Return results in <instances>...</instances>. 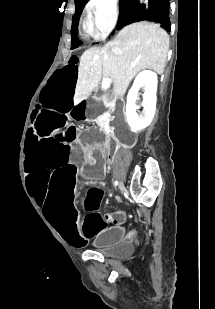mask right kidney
Listing matches in <instances>:
<instances>
[{
  "label": "right kidney",
  "mask_w": 215,
  "mask_h": 309,
  "mask_svg": "<svg viewBox=\"0 0 215 309\" xmlns=\"http://www.w3.org/2000/svg\"><path fill=\"white\" fill-rule=\"evenodd\" d=\"M157 74L153 72V70H142L137 74L127 96V106L128 102L132 108L133 118H129V114L127 112L126 106V116L128 120V124H130L132 130H141V128H145L150 124L156 108V92H157ZM141 86H145V92L143 94V114L144 116H139L138 112H136V108H138L135 100L138 94V90H140Z\"/></svg>",
  "instance_id": "right-kidney-1"
}]
</instances>
